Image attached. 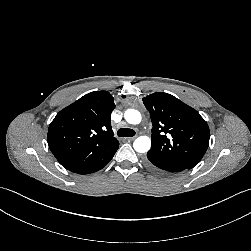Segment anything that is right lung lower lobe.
Returning a JSON list of instances; mask_svg holds the SVG:
<instances>
[{
    "label": "right lung lower lobe",
    "instance_id": "obj_1",
    "mask_svg": "<svg viewBox=\"0 0 251 251\" xmlns=\"http://www.w3.org/2000/svg\"><path fill=\"white\" fill-rule=\"evenodd\" d=\"M114 154L105 163H103L101 166L93 168V169H89V170H86V171H83V172L78 173V174H89V173H93V172H96V171L102 169L113 158Z\"/></svg>",
    "mask_w": 251,
    "mask_h": 251
}]
</instances>
